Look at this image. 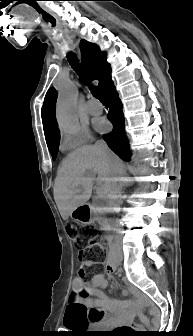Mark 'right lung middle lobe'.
I'll use <instances>...</instances> for the list:
<instances>
[{
	"mask_svg": "<svg viewBox=\"0 0 193 336\" xmlns=\"http://www.w3.org/2000/svg\"><path fill=\"white\" fill-rule=\"evenodd\" d=\"M59 140H60V136H57L54 139L47 142V145H48V148H49V151L52 155L53 160H55L56 155L58 153Z\"/></svg>",
	"mask_w": 193,
	"mask_h": 336,
	"instance_id": "1",
	"label": "right lung middle lobe"
}]
</instances>
